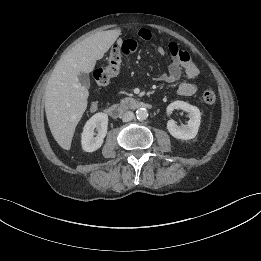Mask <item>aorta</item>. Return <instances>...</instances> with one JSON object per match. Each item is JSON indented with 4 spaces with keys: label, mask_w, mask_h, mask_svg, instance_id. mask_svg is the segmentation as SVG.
Listing matches in <instances>:
<instances>
[{
    "label": "aorta",
    "mask_w": 261,
    "mask_h": 261,
    "mask_svg": "<svg viewBox=\"0 0 261 261\" xmlns=\"http://www.w3.org/2000/svg\"><path fill=\"white\" fill-rule=\"evenodd\" d=\"M136 117L138 120H145L148 117V111L145 108H139L136 110Z\"/></svg>",
    "instance_id": "obj_1"
}]
</instances>
